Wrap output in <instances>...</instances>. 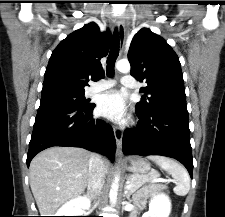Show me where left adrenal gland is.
Listing matches in <instances>:
<instances>
[{
	"label": "left adrenal gland",
	"instance_id": "left-adrenal-gland-1",
	"mask_svg": "<svg viewBox=\"0 0 225 217\" xmlns=\"http://www.w3.org/2000/svg\"><path fill=\"white\" fill-rule=\"evenodd\" d=\"M124 196H126L127 199H130V195L128 194V191L127 190H125V195Z\"/></svg>",
	"mask_w": 225,
	"mask_h": 217
}]
</instances>
